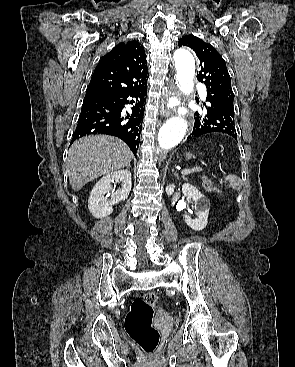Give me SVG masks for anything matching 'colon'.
<instances>
[{"mask_svg":"<svg viewBox=\"0 0 295 367\" xmlns=\"http://www.w3.org/2000/svg\"><path fill=\"white\" fill-rule=\"evenodd\" d=\"M203 186L208 191H217V186L208 176L203 178ZM157 296L146 292L136 298L125 319V329L130 338L145 352L152 353L159 342V332L153 327L154 307Z\"/></svg>","mask_w":295,"mask_h":367,"instance_id":"colon-1","label":"colon"}]
</instances>
